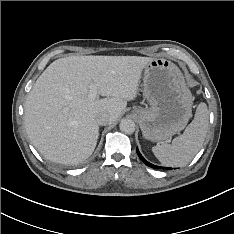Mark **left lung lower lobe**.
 <instances>
[{
  "label": "left lung lower lobe",
  "mask_w": 234,
  "mask_h": 234,
  "mask_svg": "<svg viewBox=\"0 0 234 234\" xmlns=\"http://www.w3.org/2000/svg\"><path fill=\"white\" fill-rule=\"evenodd\" d=\"M136 152H137L139 158H140L147 166H149V167H151V168H154V169H164V167L156 166V165H153V164L149 163L148 161H146V160L144 159V157L141 155V153L139 152L138 148H136ZM165 169H169V168H165Z\"/></svg>",
  "instance_id": "0a47b994"
}]
</instances>
